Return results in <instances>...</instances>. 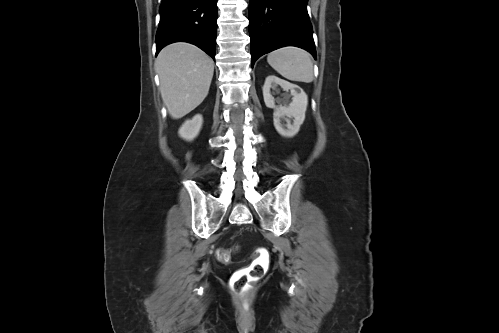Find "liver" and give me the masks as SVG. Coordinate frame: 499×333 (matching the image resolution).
Segmentation results:
<instances>
[{
	"label": "liver",
	"instance_id": "liver-1",
	"mask_svg": "<svg viewBox=\"0 0 499 333\" xmlns=\"http://www.w3.org/2000/svg\"><path fill=\"white\" fill-rule=\"evenodd\" d=\"M155 68L163 103L173 119H180L207 96L214 62L195 45L177 42L161 50Z\"/></svg>",
	"mask_w": 499,
	"mask_h": 333
}]
</instances>
